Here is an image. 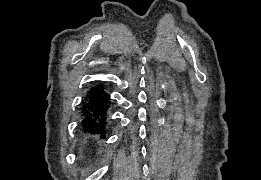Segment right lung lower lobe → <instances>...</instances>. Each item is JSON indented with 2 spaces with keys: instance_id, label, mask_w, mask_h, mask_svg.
<instances>
[{
  "instance_id": "98d812e1",
  "label": "right lung lower lobe",
  "mask_w": 261,
  "mask_h": 180,
  "mask_svg": "<svg viewBox=\"0 0 261 180\" xmlns=\"http://www.w3.org/2000/svg\"><path fill=\"white\" fill-rule=\"evenodd\" d=\"M110 96L100 85L90 88L81 107L82 125L94 133L105 135Z\"/></svg>"
}]
</instances>
